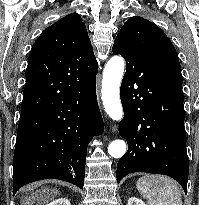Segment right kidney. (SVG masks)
I'll use <instances>...</instances> for the list:
<instances>
[{
    "label": "right kidney",
    "mask_w": 199,
    "mask_h": 205,
    "mask_svg": "<svg viewBox=\"0 0 199 205\" xmlns=\"http://www.w3.org/2000/svg\"><path fill=\"white\" fill-rule=\"evenodd\" d=\"M47 205H71V204H70L69 200H67L66 198H59V199H56V200L50 202Z\"/></svg>",
    "instance_id": "1"
}]
</instances>
